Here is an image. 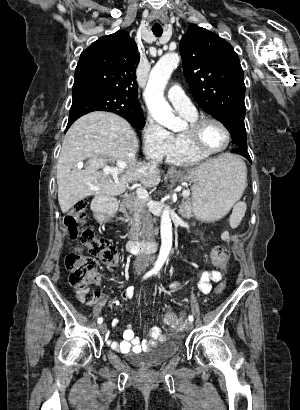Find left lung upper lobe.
<instances>
[{"mask_svg":"<svg viewBox=\"0 0 300 410\" xmlns=\"http://www.w3.org/2000/svg\"><path fill=\"white\" fill-rule=\"evenodd\" d=\"M184 76L199 106L229 130L236 148L247 150L244 74L233 47L195 24L180 41Z\"/></svg>","mask_w":300,"mask_h":410,"instance_id":"5c2ea615","label":"left lung upper lobe"}]
</instances>
